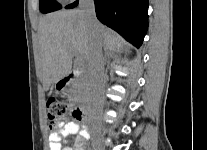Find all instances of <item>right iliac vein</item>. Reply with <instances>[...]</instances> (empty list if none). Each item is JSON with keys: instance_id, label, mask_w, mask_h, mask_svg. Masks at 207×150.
Wrapping results in <instances>:
<instances>
[{"instance_id": "63e3f726", "label": "right iliac vein", "mask_w": 207, "mask_h": 150, "mask_svg": "<svg viewBox=\"0 0 207 150\" xmlns=\"http://www.w3.org/2000/svg\"><path fill=\"white\" fill-rule=\"evenodd\" d=\"M94 150H103L102 147L98 144L94 146Z\"/></svg>"}]
</instances>
